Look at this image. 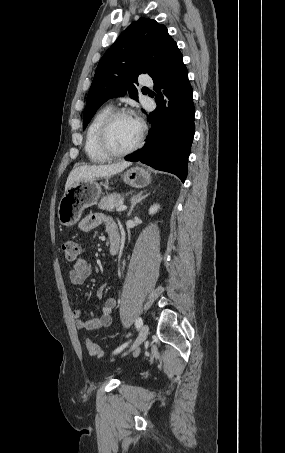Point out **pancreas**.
Masks as SVG:
<instances>
[{
    "instance_id": "cf45deb5",
    "label": "pancreas",
    "mask_w": 285,
    "mask_h": 453,
    "mask_svg": "<svg viewBox=\"0 0 285 453\" xmlns=\"http://www.w3.org/2000/svg\"><path fill=\"white\" fill-rule=\"evenodd\" d=\"M121 201V195L117 193L108 194L101 198L98 208L101 210L110 211L115 207H118Z\"/></svg>"
}]
</instances>
